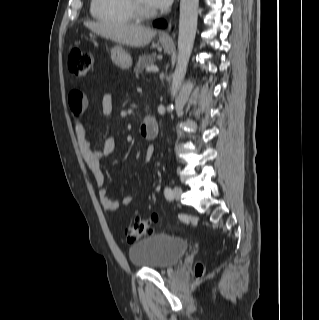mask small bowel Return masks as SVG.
I'll use <instances>...</instances> for the list:
<instances>
[{"mask_svg":"<svg viewBox=\"0 0 319 320\" xmlns=\"http://www.w3.org/2000/svg\"><path fill=\"white\" fill-rule=\"evenodd\" d=\"M69 106L74 117L75 130L77 136V144L81 157L91 172L96 185L99 188L98 194L102 207L107 211H114L118 209L120 204L124 206L130 205L135 197L133 195H126L121 202L111 198L104 185V176L101 170V159L113 153L115 149V141L112 138L105 139L102 149H94L91 140L88 137L86 126L83 123V116L87 107V98L80 90H72L69 95ZM102 113L110 115L113 112L114 101L111 94H106L102 98ZM153 153L152 146L146 150L145 159L149 161Z\"/></svg>","mask_w":319,"mask_h":320,"instance_id":"small-bowel-1","label":"small bowel"}]
</instances>
